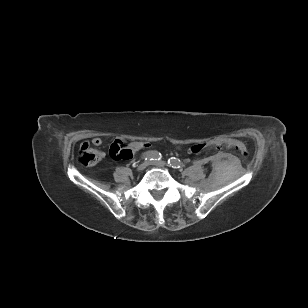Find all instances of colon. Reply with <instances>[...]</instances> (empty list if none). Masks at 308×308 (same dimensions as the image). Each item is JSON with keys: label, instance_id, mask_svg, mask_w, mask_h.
Wrapping results in <instances>:
<instances>
[{"label": "colon", "instance_id": "obj_1", "mask_svg": "<svg viewBox=\"0 0 308 308\" xmlns=\"http://www.w3.org/2000/svg\"><path fill=\"white\" fill-rule=\"evenodd\" d=\"M146 146L148 148H152L154 146V143L152 141L147 142L146 140L140 141L137 139H132L130 141V144H126L123 140L117 139L115 141V144L114 145L112 144L110 147V154L114 159L128 160L132 158L135 150L139 151L141 147H146ZM221 147L234 149L245 157L248 155L246 146L242 142L232 138L211 139L205 143L193 145L190 148V151L192 153L197 154L208 148H221ZM102 156L103 155L100 151L91 148L88 142H84L80 147L78 161L83 166H93L102 159Z\"/></svg>", "mask_w": 308, "mask_h": 308}]
</instances>
